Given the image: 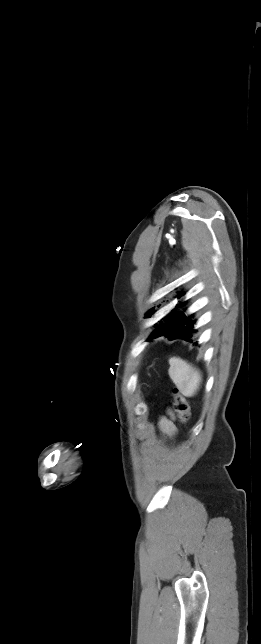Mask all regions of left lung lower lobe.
Returning <instances> with one entry per match:
<instances>
[{"label":"left lung lower lobe","instance_id":"1","mask_svg":"<svg viewBox=\"0 0 261 644\" xmlns=\"http://www.w3.org/2000/svg\"><path fill=\"white\" fill-rule=\"evenodd\" d=\"M194 323V321H190L185 326L172 331L166 337H168L170 340L182 339L185 341L193 342L195 340V334L197 333V330L194 329Z\"/></svg>","mask_w":261,"mask_h":644}]
</instances>
